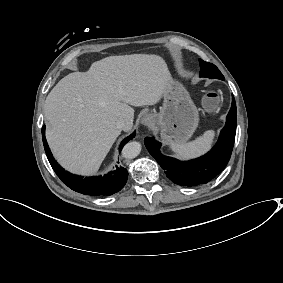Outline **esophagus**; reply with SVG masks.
<instances>
[{
  "instance_id": "obj_1",
  "label": "esophagus",
  "mask_w": 283,
  "mask_h": 283,
  "mask_svg": "<svg viewBox=\"0 0 283 283\" xmlns=\"http://www.w3.org/2000/svg\"><path fill=\"white\" fill-rule=\"evenodd\" d=\"M142 123L145 126L152 127L155 124V120L150 116H144Z\"/></svg>"
}]
</instances>
